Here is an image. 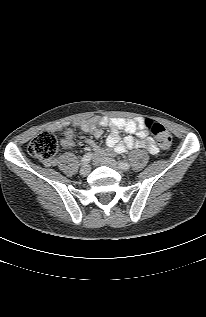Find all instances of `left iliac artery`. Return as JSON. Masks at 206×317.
<instances>
[{
  "instance_id": "1",
  "label": "left iliac artery",
  "mask_w": 206,
  "mask_h": 317,
  "mask_svg": "<svg viewBox=\"0 0 206 317\" xmlns=\"http://www.w3.org/2000/svg\"><path fill=\"white\" fill-rule=\"evenodd\" d=\"M119 165L124 170H128L130 168V165L127 162H119Z\"/></svg>"
}]
</instances>
